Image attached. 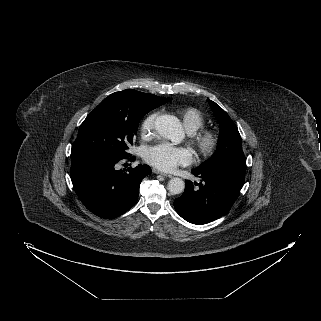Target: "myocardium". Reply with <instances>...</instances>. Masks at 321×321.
I'll return each instance as SVG.
<instances>
[{"label":"myocardium","instance_id":"myocardium-1","mask_svg":"<svg viewBox=\"0 0 321 321\" xmlns=\"http://www.w3.org/2000/svg\"><path fill=\"white\" fill-rule=\"evenodd\" d=\"M191 142L197 154L203 159H208L212 157L219 148L220 134L212 128L201 129L192 134Z\"/></svg>","mask_w":321,"mask_h":321}]
</instances>
